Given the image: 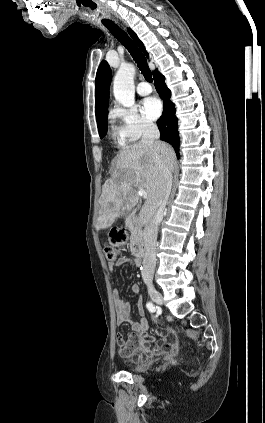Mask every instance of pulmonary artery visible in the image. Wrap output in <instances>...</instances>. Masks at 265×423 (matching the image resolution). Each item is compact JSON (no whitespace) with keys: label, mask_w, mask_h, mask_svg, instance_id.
<instances>
[{"label":"pulmonary artery","mask_w":265,"mask_h":423,"mask_svg":"<svg viewBox=\"0 0 265 423\" xmlns=\"http://www.w3.org/2000/svg\"><path fill=\"white\" fill-rule=\"evenodd\" d=\"M136 90L139 95L145 96L152 92V87L148 82L140 81L136 87Z\"/></svg>","instance_id":"obj_1"}]
</instances>
